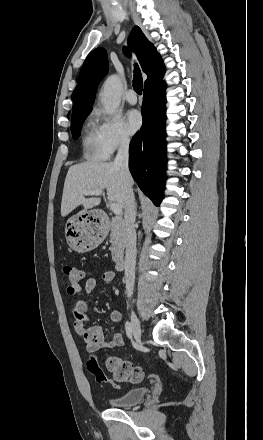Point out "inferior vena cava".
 Instances as JSON below:
<instances>
[{"label":"inferior vena cava","mask_w":263,"mask_h":440,"mask_svg":"<svg viewBox=\"0 0 263 440\" xmlns=\"http://www.w3.org/2000/svg\"><path fill=\"white\" fill-rule=\"evenodd\" d=\"M129 163V138L123 136L120 141L118 153L114 159V166L120 169L122 179L121 203L124 208L125 217V277L127 295L130 297L133 293L135 282L136 266V205L132 189V177L128 167Z\"/></svg>","instance_id":"obj_1"}]
</instances>
